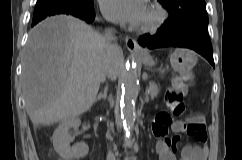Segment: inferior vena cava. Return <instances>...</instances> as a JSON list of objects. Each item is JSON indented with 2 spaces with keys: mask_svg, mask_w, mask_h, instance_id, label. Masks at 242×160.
<instances>
[{
  "mask_svg": "<svg viewBox=\"0 0 242 160\" xmlns=\"http://www.w3.org/2000/svg\"><path fill=\"white\" fill-rule=\"evenodd\" d=\"M114 29L110 28L105 31L103 40L107 51L106 61L103 68H100L101 81H115L117 73H120V64L122 62V50H119L114 41ZM107 160H115L114 154L109 151Z\"/></svg>",
  "mask_w": 242,
  "mask_h": 160,
  "instance_id": "1",
  "label": "inferior vena cava"
}]
</instances>
